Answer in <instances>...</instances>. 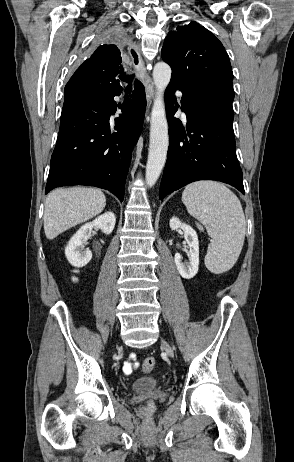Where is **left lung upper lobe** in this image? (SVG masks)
Masks as SVG:
<instances>
[{
  "label": "left lung upper lobe",
  "mask_w": 294,
  "mask_h": 462,
  "mask_svg": "<svg viewBox=\"0 0 294 462\" xmlns=\"http://www.w3.org/2000/svg\"><path fill=\"white\" fill-rule=\"evenodd\" d=\"M162 59L172 68L171 81L183 89L226 87L233 91V72L222 43L192 21L168 33Z\"/></svg>",
  "instance_id": "obj_1"
}]
</instances>
